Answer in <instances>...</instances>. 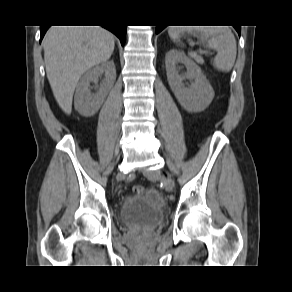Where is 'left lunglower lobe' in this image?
Returning <instances> with one entry per match:
<instances>
[{
  "mask_svg": "<svg viewBox=\"0 0 292 292\" xmlns=\"http://www.w3.org/2000/svg\"><path fill=\"white\" fill-rule=\"evenodd\" d=\"M166 26L164 25H158L156 26V33H159L160 31H162ZM235 27V26H234ZM236 31L238 32V34L240 35V31H241V26L235 27Z\"/></svg>",
  "mask_w": 292,
  "mask_h": 292,
  "instance_id": "0a47b994",
  "label": "left lung lower lobe"
}]
</instances>
